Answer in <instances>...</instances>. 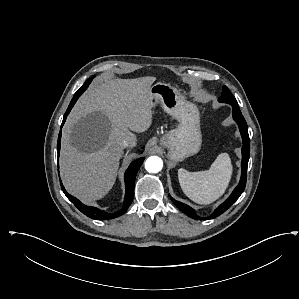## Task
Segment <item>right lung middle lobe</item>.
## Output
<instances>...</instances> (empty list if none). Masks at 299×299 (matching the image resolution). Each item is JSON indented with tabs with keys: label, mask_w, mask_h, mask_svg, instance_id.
<instances>
[{
	"label": "right lung middle lobe",
	"mask_w": 299,
	"mask_h": 299,
	"mask_svg": "<svg viewBox=\"0 0 299 299\" xmlns=\"http://www.w3.org/2000/svg\"><path fill=\"white\" fill-rule=\"evenodd\" d=\"M93 76L90 77L88 80H86V82L83 84V86L75 93V95L77 94H82L89 86L90 82L92 81Z\"/></svg>",
	"instance_id": "1"
}]
</instances>
